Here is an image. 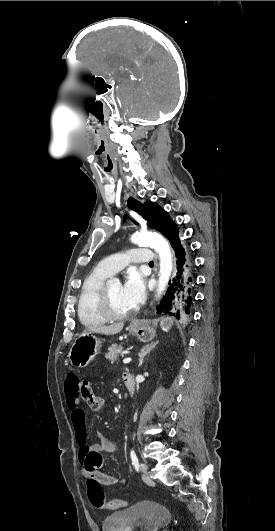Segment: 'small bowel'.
<instances>
[{"label": "small bowel", "instance_id": "small-bowel-1", "mask_svg": "<svg viewBox=\"0 0 275 531\" xmlns=\"http://www.w3.org/2000/svg\"><path fill=\"white\" fill-rule=\"evenodd\" d=\"M69 382L65 383V393L67 405L70 409V421L73 432L80 443L78 450V462L82 467L83 476H93L102 485L111 486L117 483L124 484V478L118 479L115 476L106 474L100 471L103 465V454L113 453L116 450V445L113 441L103 436L100 432L94 433L95 441L91 444H86L87 438V421L86 415L79 403L80 385L78 382V375L74 368L67 370Z\"/></svg>", "mask_w": 275, "mask_h": 531}]
</instances>
